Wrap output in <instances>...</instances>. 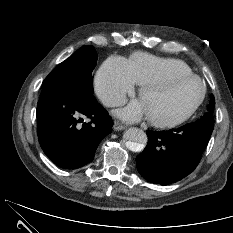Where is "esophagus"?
Returning a JSON list of instances; mask_svg holds the SVG:
<instances>
[{
	"mask_svg": "<svg viewBox=\"0 0 233 233\" xmlns=\"http://www.w3.org/2000/svg\"><path fill=\"white\" fill-rule=\"evenodd\" d=\"M113 129L115 131H121V130H124L125 129V126L122 125L121 123H119L118 121H115L114 122V125H113Z\"/></svg>",
	"mask_w": 233,
	"mask_h": 233,
	"instance_id": "34e87169",
	"label": "esophagus"
}]
</instances>
